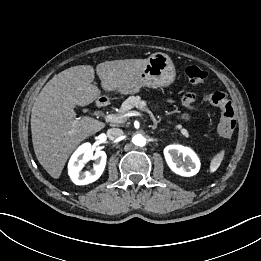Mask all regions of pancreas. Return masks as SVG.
Masks as SVG:
<instances>
[{"label":"pancreas","instance_id":"1","mask_svg":"<svg viewBox=\"0 0 261 261\" xmlns=\"http://www.w3.org/2000/svg\"><path fill=\"white\" fill-rule=\"evenodd\" d=\"M134 107H136L142 111L148 110L147 102L142 100L140 96H130L122 103L120 113L118 115H124V114L128 113ZM175 128L179 129L183 136H185V137L189 136L188 131L185 128H183L182 125H180V124L176 125Z\"/></svg>","mask_w":261,"mask_h":261}]
</instances>
